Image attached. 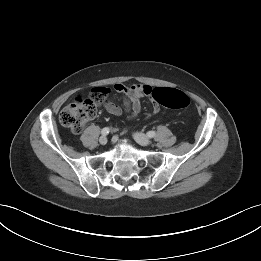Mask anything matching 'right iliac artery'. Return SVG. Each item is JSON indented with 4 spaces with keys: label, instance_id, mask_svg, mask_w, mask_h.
Listing matches in <instances>:
<instances>
[{
    "label": "right iliac artery",
    "instance_id": "1",
    "mask_svg": "<svg viewBox=\"0 0 261 261\" xmlns=\"http://www.w3.org/2000/svg\"><path fill=\"white\" fill-rule=\"evenodd\" d=\"M109 132H110V129L108 127H105V128L102 129L101 134L107 135Z\"/></svg>",
    "mask_w": 261,
    "mask_h": 261
}]
</instances>
